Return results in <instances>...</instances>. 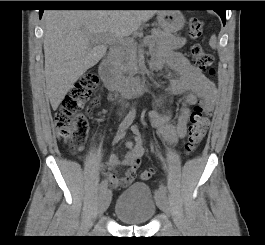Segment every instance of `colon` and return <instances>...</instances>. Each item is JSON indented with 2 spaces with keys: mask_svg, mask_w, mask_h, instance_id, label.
I'll return each instance as SVG.
<instances>
[{
  "mask_svg": "<svg viewBox=\"0 0 265 245\" xmlns=\"http://www.w3.org/2000/svg\"><path fill=\"white\" fill-rule=\"evenodd\" d=\"M188 28L190 36L198 38L203 31V23L199 18L194 17L190 19ZM190 54L198 69L209 75H214L213 57L208 51L200 45H192ZM97 81L98 77L96 74L86 75L71 89L54 118L59 136L74 151L83 145L87 137L86 112L89 111V105L97 107L100 104L97 99L92 98ZM211 114V109L205 105H198L193 110L185 143L186 153H192L202 143ZM152 175L153 170L146 168L140 171L139 178L141 180H149Z\"/></svg>",
  "mask_w": 265,
  "mask_h": 245,
  "instance_id": "5ec220e1",
  "label": "colon"
}]
</instances>
